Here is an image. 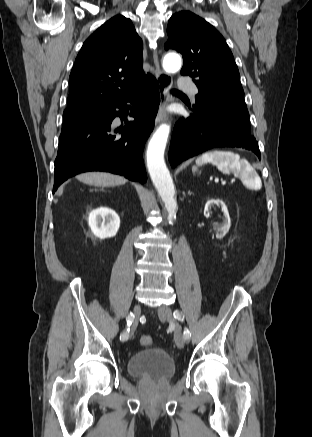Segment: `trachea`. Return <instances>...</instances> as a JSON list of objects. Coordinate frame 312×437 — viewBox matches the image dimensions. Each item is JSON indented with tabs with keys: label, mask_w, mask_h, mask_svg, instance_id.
Returning <instances> with one entry per match:
<instances>
[{
	"label": "trachea",
	"mask_w": 312,
	"mask_h": 437,
	"mask_svg": "<svg viewBox=\"0 0 312 437\" xmlns=\"http://www.w3.org/2000/svg\"><path fill=\"white\" fill-rule=\"evenodd\" d=\"M172 93H181L180 91L176 90V89H172L171 90Z\"/></svg>",
	"instance_id": "3493384b"
}]
</instances>
